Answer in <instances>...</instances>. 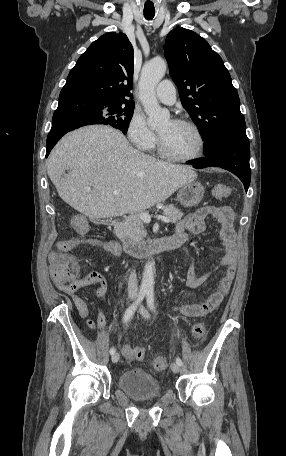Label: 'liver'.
Returning <instances> with one entry per match:
<instances>
[{"mask_svg":"<svg viewBox=\"0 0 286 456\" xmlns=\"http://www.w3.org/2000/svg\"><path fill=\"white\" fill-rule=\"evenodd\" d=\"M47 173L62 200L91 221L151 208L197 177L188 166L137 151L120 131L102 125L65 135L48 157Z\"/></svg>","mask_w":286,"mask_h":456,"instance_id":"liver-1","label":"liver"}]
</instances>
